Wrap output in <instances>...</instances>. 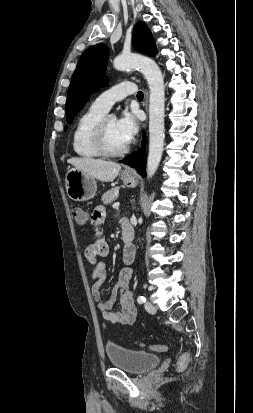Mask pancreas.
I'll return each mask as SVG.
<instances>
[{
	"instance_id": "1",
	"label": "pancreas",
	"mask_w": 253,
	"mask_h": 413,
	"mask_svg": "<svg viewBox=\"0 0 253 413\" xmlns=\"http://www.w3.org/2000/svg\"><path fill=\"white\" fill-rule=\"evenodd\" d=\"M118 193H119V188L118 187L112 188V189L108 190L107 192H105L103 194L101 200L104 204H110L115 199H117Z\"/></svg>"
}]
</instances>
